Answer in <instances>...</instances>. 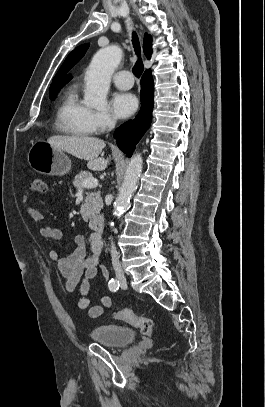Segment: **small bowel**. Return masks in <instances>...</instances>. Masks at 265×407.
<instances>
[{
    "instance_id": "obj_1",
    "label": "small bowel",
    "mask_w": 265,
    "mask_h": 407,
    "mask_svg": "<svg viewBox=\"0 0 265 407\" xmlns=\"http://www.w3.org/2000/svg\"><path fill=\"white\" fill-rule=\"evenodd\" d=\"M29 193L23 196V203L26 205L28 215L37 223L43 222V215L35 208L28 206ZM40 234L51 240H59L62 237V232L59 228L53 226L40 227ZM89 248L91 254L86 253V238L83 235H76L73 239L72 251L60 256L56 250L49 253V257L57 263L59 271L65 278V288L67 292H80V297L77 301V307L80 310L88 309V315L92 319L100 317L112 305L111 298L104 294L100 298V304L90 307L88 298L90 281L98 275H102L105 279L109 278V272L99 266V254L101 251L100 240L97 236L89 237Z\"/></svg>"
}]
</instances>
